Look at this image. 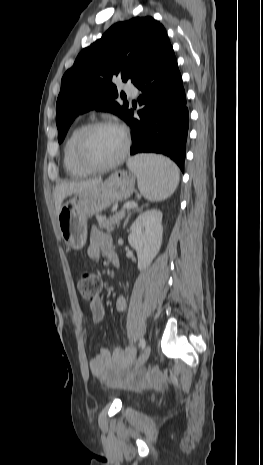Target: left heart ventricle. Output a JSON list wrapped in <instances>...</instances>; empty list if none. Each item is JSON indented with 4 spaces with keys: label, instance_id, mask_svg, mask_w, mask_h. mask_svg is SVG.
Returning a JSON list of instances; mask_svg holds the SVG:
<instances>
[{
    "label": "left heart ventricle",
    "instance_id": "b2bd125f",
    "mask_svg": "<svg viewBox=\"0 0 263 465\" xmlns=\"http://www.w3.org/2000/svg\"><path fill=\"white\" fill-rule=\"evenodd\" d=\"M123 148V137L119 130L104 127L94 130L86 141V155L96 164L114 160Z\"/></svg>",
    "mask_w": 263,
    "mask_h": 465
}]
</instances>
